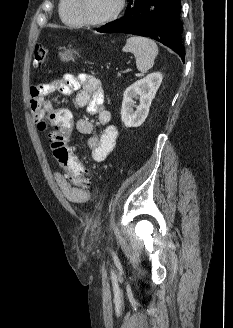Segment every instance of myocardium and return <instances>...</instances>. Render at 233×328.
Returning a JSON list of instances; mask_svg holds the SVG:
<instances>
[{
  "label": "myocardium",
  "instance_id": "f54148a6",
  "mask_svg": "<svg viewBox=\"0 0 233 328\" xmlns=\"http://www.w3.org/2000/svg\"><path fill=\"white\" fill-rule=\"evenodd\" d=\"M125 6H126V0H118V4H117L115 11L110 16H108L104 19L98 20V21H91V20L86 19L83 16L82 0H75L74 9H75L77 18L82 25L88 26V27H98V26H102V25L108 24V23L116 20L122 14L123 10L125 9Z\"/></svg>",
  "mask_w": 233,
  "mask_h": 328
}]
</instances>
